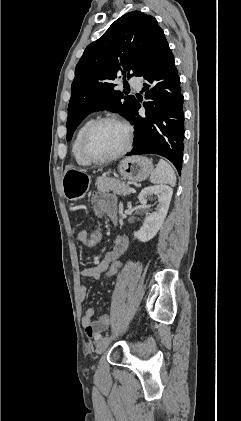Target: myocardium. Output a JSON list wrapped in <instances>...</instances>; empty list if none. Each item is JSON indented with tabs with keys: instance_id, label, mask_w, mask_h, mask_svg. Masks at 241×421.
<instances>
[{
	"instance_id": "myocardium-1",
	"label": "myocardium",
	"mask_w": 241,
	"mask_h": 421,
	"mask_svg": "<svg viewBox=\"0 0 241 421\" xmlns=\"http://www.w3.org/2000/svg\"><path fill=\"white\" fill-rule=\"evenodd\" d=\"M104 123H116L121 125L126 132V140L125 143L123 145V147L118 150L117 152L108 155V156H104V157H98L95 156L93 154H91V152L88 149V140L90 135L92 134V132L101 124ZM132 140H133V129L131 127V125L126 122L125 120L116 117V116H104V117H100L97 118L95 120H93L85 129V131L82 134L81 137V141H80V150L82 155L84 156L85 159H87L89 162L94 163V164H101V163H106V162H110L113 160H116L118 158H120L121 156H123L124 154H126L132 145Z\"/></svg>"
}]
</instances>
